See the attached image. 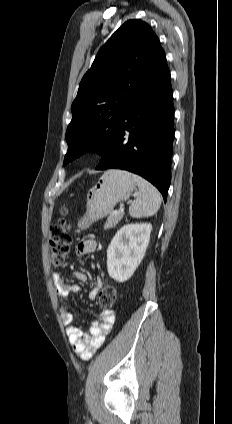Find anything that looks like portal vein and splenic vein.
<instances>
[{"mask_svg":"<svg viewBox=\"0 0 232 424\" xmlns=\"http://www.w3.org/2000/svg\"><path fill=\"white\" fill-rule=\"evenodd\" d=\"M118 212H124V208L122 206H120L119 211ZM116 213V212H113Z\"/></svg>","mask_w":232,"mask_h":424,"instance_id":"18ae733b","label":"portal vein and splenic vein"}]
</instances>
